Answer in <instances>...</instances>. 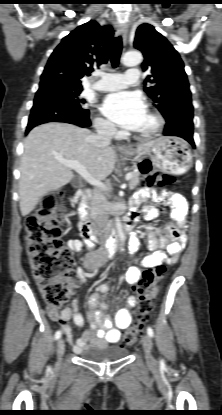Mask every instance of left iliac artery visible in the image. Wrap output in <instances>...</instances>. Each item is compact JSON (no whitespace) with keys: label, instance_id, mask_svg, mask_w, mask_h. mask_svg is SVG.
<instances>
[{"label":"left iliac artery","instance_id":"44dca946","mask_svg":"<svg viewBox=\"0 0 222 415\" xmlns=\"http://www.w3.org/2000/svg\"><path fill=\"white\" fill-rule=\"evenodd\" d=\"M147 333L150 337H153V335H154L153 329L151 327L147 328Z\"/></svg>","mask_w":222,"mask_h":415}]
</instances>
